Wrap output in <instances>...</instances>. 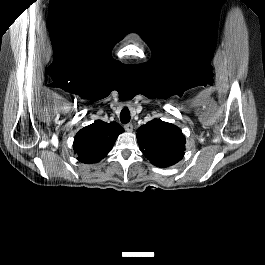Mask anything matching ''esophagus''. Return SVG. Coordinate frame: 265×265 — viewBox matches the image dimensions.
I'll return each instance as SVG.
<instances>
[{"label":"esophagus","mask_w":265,"mask_h":265,"mask_svg":"<svg viewBox=\"0 0 265 265\" xmlns=\"http://www.w3.org/2000/svg\"><path fill=\"white\" fill-rule=\"evenodd\" d=\"M124 128L127 132H132L133 131V125L131 123H128L124 125Z\"/></svg>","instance_id":"34e87169"}]
</instances>
